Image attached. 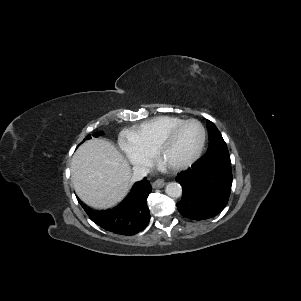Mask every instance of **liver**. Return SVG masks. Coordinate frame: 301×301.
<instances>
[{
    "instance_id": "1",
    "label": "liver",
    "mask_w": 301,
    "mask_h": 301,
    "mask_svg": "<svg viewBox=\"0 0 301 301\" xmlns=\"http://www.w3.org/2000/svg\"><path fill=\"white\" fill-rule=\"evenodd\" d=\"M70 170L78 197L99 209L117 204L133 182L127 160L104 139L84 142L75 152Z\"/></svg>"
}]
</instances>
